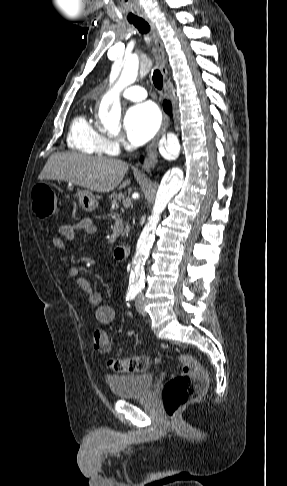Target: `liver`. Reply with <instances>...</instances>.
Segmentation results:
<instances>
[{"instance_id": "obj_1", "label": "liver", "mask_w": 287, "mask_h": 486, "mask_svg": "<svg viewBox=\"0 0 287 486\" xmlns=\"http://www.w3.org/2000/svg\"><path fill=\"white\" fill-rule=\"evenodd\" d=\"M127 170L128 164L122 160L63 152L49 157L38 179L70 182L105 193L130 184V179L122 182Z\"/></svg>"}]
</instances>
